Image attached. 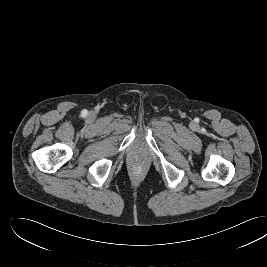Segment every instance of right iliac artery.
Wrapping results in <instances>:
<instances>
[{"label": "right iliac artery", "instance_id": "right-iliac-artery-1", "mask_svg": "<svg viewBox=\"0 0 267 267\" xmlns=\"http://www.w3.org/2000/svg\"><path fill=\"white\" fill-rule=\"evenodd\" d=\"M82 116H86L87 115V110L86 109H84V110H82Z\"/></svg>", "mask_w": 267, "mask_h": 267}]
</instances>
